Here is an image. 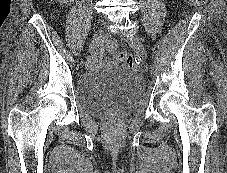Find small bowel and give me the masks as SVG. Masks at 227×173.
<instances>
[{
	"label": "small bowel",
	"instance_id": "obj_1",
	"mask_svg": "<svg viewBox=\"0 0 227 173\" xmlns=\"http://www.w3.org/2000/svg\"><path fill=\"white\" fill-rule=\"evenodd\" d=\"M101 55H102V48H100V49L96 52L94 59H95V60H98V59L101 57Z\"/></svg>",
	"mask_w": 227,
	"mask_h": 173
}]
</instances>
